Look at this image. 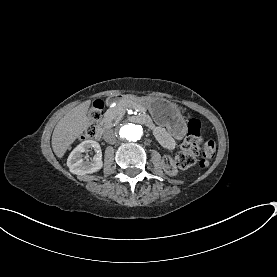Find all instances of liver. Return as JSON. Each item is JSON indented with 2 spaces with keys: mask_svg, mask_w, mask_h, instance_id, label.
Instances as JSON below:
<instances>
[{
  "mask_svg": "<svg viewBox=\"0 0 277 277\" xmlns=\"http://www.w3.org/2000/svg\"><path fill=\"white\" fill-rule=\"evenodd\" d=\"M91 100H86L69 110L56 124L51 144L54 154L61 159L70 145L90 126L87 111Z\"/></svg>",
  "mask_w": 277,
  "mask_h": 277,
  "instance_id": "6515ba94",
  "label": "liver"
}]
</instances>
